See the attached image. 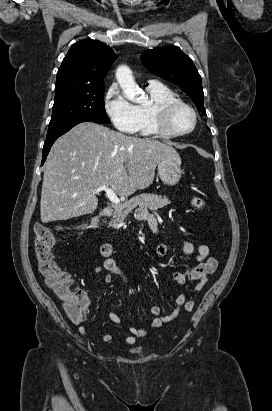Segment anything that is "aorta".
Wrapping results in <instances>:
<instances>
[{
  "instance_id": "aorta-1",
  "label": "aorta",
  "mask_w": 272,
  "mask_h": 411,
  "mask_svg": "<svg viewBox=\"0 0 272 411\" xmlns=\"http://www.w3.org/2000/svg\"><path fill=\"white\" fill-rule=\"evenodd\" d=\"M115 75L125 97L134 103L142 102L144 93L137 86L130 68L125 65L119 66Z\"/></svg>"
}]
</instances>
